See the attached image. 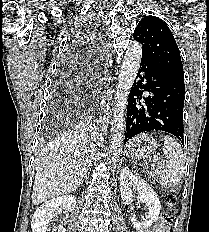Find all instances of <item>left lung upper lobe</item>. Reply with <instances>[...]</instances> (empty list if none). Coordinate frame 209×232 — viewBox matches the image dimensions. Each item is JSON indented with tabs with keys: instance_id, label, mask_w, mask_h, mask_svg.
Returning a JSON list of instances; mask_svg holds the SVG:
<instances>
[{
	"instance_id": "obj_1",
	"label": "left lung upper lobe",
	"mask_w": 209,
	"mask_h": 232,
	"mask_svg": "<svg viewBox=\"0 0 209 232\" xmlns=\"http://www.w3.org/2000/svg\"><path fill=\"white\" fill-rule=\"evenodd\" d=\"M133 36L143 45V59L154 64L164 74L184 80L180 52L166 23L155 16H145L135 28Z\"/></svg>"
}]
</instances>
